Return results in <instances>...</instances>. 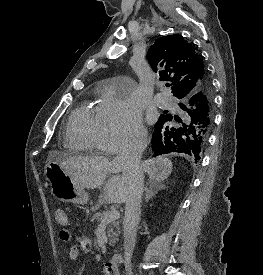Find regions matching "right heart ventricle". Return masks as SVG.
<instances>
[{
    "mask_svg": "<svg viewBox=\"0 0 263 275\" xmlns=\"http://www.w3.org/2000/svg\"><path fill=\"white\" fill-rule=\"evenodd\" d=\"M100 128L101 105L95 108H91L88 104L81 105L69 116L65 132V146L79 152L100 148Z\"/></svg>",
    "mask_w": 263,
    "mask_h": 275,
    "instance_id": "right-heart-ventricle-1",
    "label": "right heart ventricle"
}]
</instances>
